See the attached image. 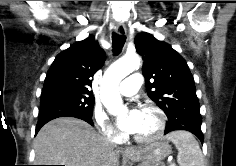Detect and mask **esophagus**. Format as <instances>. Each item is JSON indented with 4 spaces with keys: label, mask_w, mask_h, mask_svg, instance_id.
Returning <instances> with one entry per match:
<instances>
[{
    "label": "esophagus",
    "mask_w": 236,
    "mask_h": 166,
    "mask_svg": "<svg viewBox=\"0 0 236 166\" xmlns=\"http://www.w3.org/2000/svg\"><path fill=\"white\" fill-rule=\"evenodd\" d=\"M115 31L117 32V34L121 35V36H125L127 31H126V27L124 24L119 23L116 27H115ZM125 152L126 153H134L136 152V150L132 147H126L125 148Z\"/></svg>",
    "instance_id": "esophagus-1"
}]
</instances>
